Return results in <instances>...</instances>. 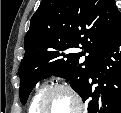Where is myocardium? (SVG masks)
<instances>
[{"label":"myocardium","instance_id":"myocardium-1","mask_svg":"<svg viewBox=\"0 0 121 113\" xmlns=\"http://www.w3.org/2000/svg\"><path fill=\"white\" fill-rule=\"evenodd\" d=\"M61 91L68 93L70 97L74 100L75 105L73 110H81L83 108L82 97L74 87L66 83H57L49 86L42 92L37 102L35 110L39 111L44 109L43 106L46 104L47 99L53 94Z\"/></svg>","mask_w":121,"mask_h":113}]
</instances>
